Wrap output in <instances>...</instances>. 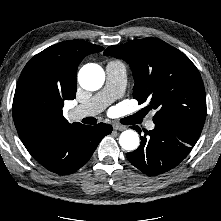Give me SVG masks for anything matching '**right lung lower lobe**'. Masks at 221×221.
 Wrapping results in <instances>:
<instances>
[{
  "mask_svg": "<svg viewBox=\"0 0 221 221\" xmlns=\"http://www.w3.org/2000/svg\"><path fill=\"white\" fill-rule=\"evenodd\" d=\"M112 132V126H78L67 132L61 142L43 146L31 155L51 172L67 175L85 165L101 139Z\"/></svg>",
  "mask_w": 221,
  "mask_h": 221,
  "instance_id": "98d812e1",
  "label": "right lung lower lobe"
}]
</instances>
